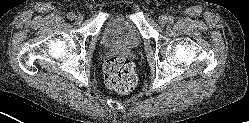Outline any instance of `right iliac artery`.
<instances>
[{
	"label": "right iliac artery",
	"instance_id": "82829eb1",
	"mask_svg": "<svg viewBox=\"0 0 249 123\" xmlns=\"http://www.w3.org/2000/svg\"><path fill=\"white\" fill-rule=\"evenodd\" d=\"M67 18H68L69 20H73V19L75 18V14L69 13V14L67 15Z\"/></svg>",
	"mask_w": 249,
	"mask_h": 123
}]
</instances>
